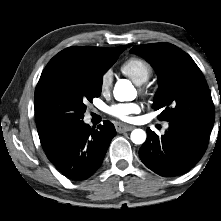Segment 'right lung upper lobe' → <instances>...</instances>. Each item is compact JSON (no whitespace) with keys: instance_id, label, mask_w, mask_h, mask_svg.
Listing matches in <instances>:
<instances>
[{"instance_id":"cb5924a9","label":"right lung upper lobe","mask_w":221,"mask_h":221,"mask_svg":"<svg viewBox=\"0 0 221 221\" xmlns=\"http://www.w3.org/2000/svg\"><path fill=\"white\" fill-rule=\"evenodd\" d=\"M126 49V46L116 48H104V47H88V46H74L66 48L56 54L47 64L44 72L63 63H73L80 61H109L118 59L121 52ZM53 139H40L43 149Z\"/></svg>"}]
</instances>
